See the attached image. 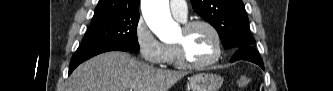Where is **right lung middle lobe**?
Listing matches in <instances>:
<instances>
[{
  "instance_id": "1",
  "label": "right lung middle lobe",
  "mask_w": 333,
  "mask_h": 91,
  "mask_svg": "<svg viewBox=\"0 0 333 91\" xmlns=\"http://www.w3.org/2000/svg\"><path fill=\"white\" fill-rule=\"evenodd\" d=\"M139 13L100 16L92 19L82 47L115 45L138 52L137 24Z\"/></svg>"
}]
</instances>
